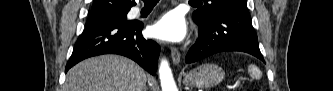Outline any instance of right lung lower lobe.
<instances>
[{"label":"right lung lower lobe","instance_id":"1","mask_svg":"<svg viewBox=\"0 0 333 91\" xmlns=\"http://www.w3.org/2000/svg\"><path fill=\"white\" fill-rule=\"evenodd\" d=\"M143 23L118 19H88L78 38L65 72L78 62L102 54L131 58L155 75L160 46L142 36Z\"/></svg>","mask_w":333,"mask_h":91}]
</instances>
